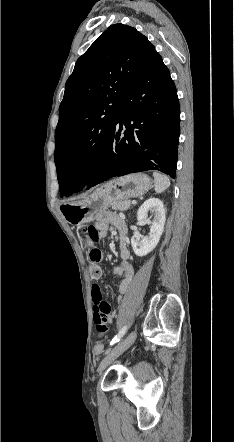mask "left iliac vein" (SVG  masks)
<instances>
[{
    "label": "left iliac vein",
    "instance_id": "left-iliac-vein-1",
    "mask_svg": "<svg viewBox=\"0 0 234 442\" xmlns=\"http://www.w3.org/2000/svg\"><path fill=\"white\" fill-rule=\"evenodd\" d=\"M136 330L130 332L119 344H117L101 361L98 371L101 373L109 364H111L118 356L126 351L136 340Z\"/></svg>",
    "mask_w": 234,
    "mask_h": 442
}]
</instances>
